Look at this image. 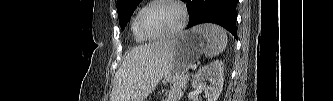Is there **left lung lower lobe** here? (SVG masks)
I'll return each mask as SVG.
<instances>
[{
  "instance_id": "0a47b994",
  "label": "left lung lower lobe",
  "mask_w": 333,
  "mask_h": 101,
  "mask_svg": "<svg viewBox=\"0 0 333 101\" xmlns=\"http://www.w3.org/2000/svg\"><path fill=\"white\" fill-rule=\"evenodd\" d=\"M190 14L191 28L200 23L218 24L237 38L236 6L238 0H184Z\"/></svg>"
}]
</instances>
